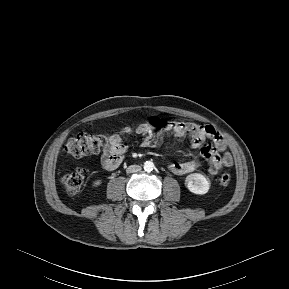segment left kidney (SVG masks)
Segmentation results:
<instances>
[{
  "mask_svg": "<svg viewBox=\"0 0 289 289\" xmlns=\"http://www.w3.org/2000/svg\"><path fill=\"white\" fill-rule=\"evenodd\" d=\"M185 185L194 194H205L210 188L206 177L201 173H192L186 177Z\"/></svg>",
  "mask_w": 289,
  "mask_h": 289,
  "instance_id": "obj_1",
  "label": "left kidney"
}]
</instances>
